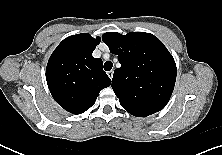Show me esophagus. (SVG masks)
<instances>
[{
  "label": "esophagus",
  "mask_w": 222,
  "mask_h": 155,
  "mask_svg": "<svg viewBox=\"0 0 222 155\" xmlns=\"http://www.w3.org/2000/svg\"><path fill=\"white\" fill-rule=\"evenodd\" d=\"M113 74H114V72L112 70L107 72V75L110 79L113 78Z\"/></svg>",
  "instance_id": "34e87169"
}]
</instances>
